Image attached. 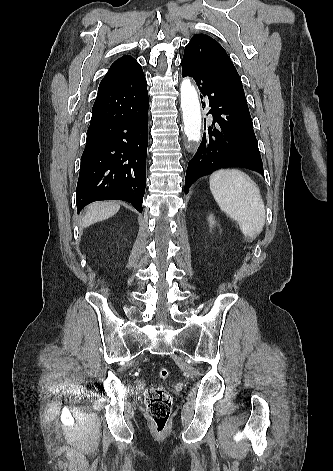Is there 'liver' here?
Returning <instances> with one entry per match:
<instances>
[{"instance_id":"6515ba94","label":"liver","mask_w":333,"mask_h":471,"mask_svg":"<svg viewBox=\"0 0 333 471\" xmlns=\"http://www.w3.org/2000/svg\"><path fill=\"white\" fill-rule=\"evenodd\" d=\"M120 209L116 202H96L88 206L82 219V227H88L94 223L106 220L114 216Z\"/></svg>"}]
</instances>
